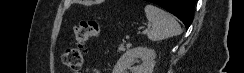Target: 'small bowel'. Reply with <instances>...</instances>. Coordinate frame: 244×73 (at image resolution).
Here are the masks:
<instances>
[{
    "label": "small bowel",
    "instance_id": "1",
    "mask_svg": "<svg viewBox=\"0 0 244 73\" xmlns=\"http://www.w3.org/2000/svg\"><path fill=\"white\" fill-rule=\"evenodd\" d=\"M85 73H101V71L99 69H97L96 67L87 66Z\"/></svg>",
    "mask_w": 244,
    "mask_h": 73
}]
</instances>
